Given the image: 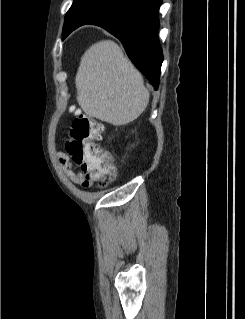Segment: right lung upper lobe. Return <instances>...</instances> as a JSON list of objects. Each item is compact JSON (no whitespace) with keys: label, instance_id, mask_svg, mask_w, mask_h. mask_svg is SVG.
<instances>
[{"label":"right lung upper lobe","instance_id":"obj_1","mask_svg":"<svg viewBox=\"0 0 245 319\" xmlns=\"http://www.w3.org/2000/svg\"><path fill=\"white\" fill-rule=\"evenodd\" d=\"M83 0H74L71 8L69 9V11L66 14L65 17V22L69 21L72 18H75L74 22L72 24L67 25L64 30V36L66 37L69 33H71L74 29H76L77 27L89 23L90 21H92L94 18L91 17L90 15L87 14L86 11H84L81 8V2Z\"/></svg>","mask_w":245,"mask_h":319}]
</instances>
